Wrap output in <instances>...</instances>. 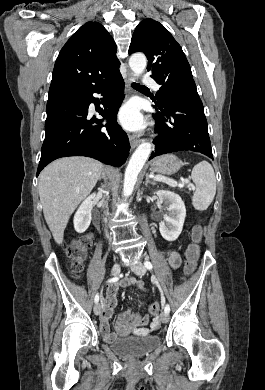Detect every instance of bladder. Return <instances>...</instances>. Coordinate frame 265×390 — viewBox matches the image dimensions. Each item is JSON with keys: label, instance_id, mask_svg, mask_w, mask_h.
<instances>
[{"label": "bladder", "instance_id": "bladder-1", "mask_svg": "<svg viewBox=\"0 0 265 390\" xmlns=\"http://www.w3.org/2000/svg\"><path fill=\"white\" fill-rule=\"evenodd\" d=\"M160 344V338L156 335L113 337L109 341L111 350L126 359L143 357Z\"/></svg>", "mask_w": 265, "mask_h": 390}]
</instances>
